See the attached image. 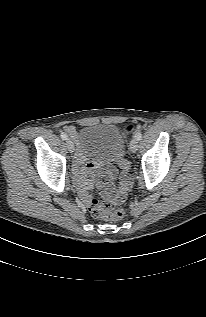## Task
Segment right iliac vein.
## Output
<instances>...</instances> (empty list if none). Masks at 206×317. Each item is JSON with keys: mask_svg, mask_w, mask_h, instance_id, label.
Returning a JSON list of instances; mask_svg holds the SVG:
<instances>
[{"mask_svg": "<svg viewBox=\"0 0 206 317\" xmlns=\"http://www.w3.org/2000/svg\"><path fill=\"white\" fill-rule=\"evenodd\" d=\"M66 146L69 152L73 153L75 148H74V144L71 140H66Z\"/></svg>", "mask_w": 206, "mask_h": 317, "instance_id": "right-iliac-vein-1", "label": "right iliac vein"}]
</instances>
